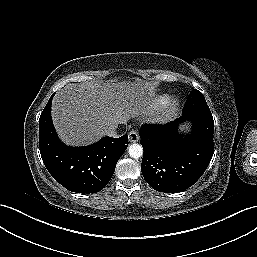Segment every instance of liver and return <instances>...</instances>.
<instances>
[{
    "instance_id": "1",
    "label": "liver",
    "mask_w": 257,
    "mask_h": 257,
    "mask_svg": "<svg viewBox=\"0 0 257 257\" xmlns=\"http://www.w3.org/2000/svg\"><path fill=\"white\" fill-rule=\"evenodd\" d=\"M153 94V85L142 80L70 85L54 96L53 123L65 144L89 145L143 115Z\"/></svg>"
}]
</instances>
